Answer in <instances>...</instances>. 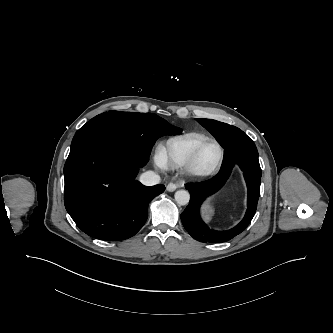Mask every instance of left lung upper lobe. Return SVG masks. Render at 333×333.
Returning a JSON list of instances; mask_svg holds the SVG:
<instances>
[{"label": "left lung upper lobe", "instance_id": "left-lung-upper-lobe-1", "mask_svg": "<svg viewBox=\"0 0 333 333\" xmlns=\"http://www.w3.org/2000/svg\"><path fill=\"white\" fill-rule=\"evenodd\" d=\"M203 127H205L221 144L226 147L229 140L234 136L244 133L239 128L211 119H196Z\"/></svg>", "mask_w": 333, "mask_h": 333}]
</instances>
